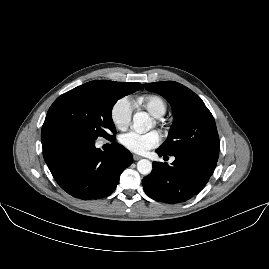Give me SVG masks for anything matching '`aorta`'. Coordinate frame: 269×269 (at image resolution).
Masks as SVG:
<instances>
[{"label": "aorta", "instance_id": "762f6f07", "mask_svg": "<svg viewBox=\"0 0 269 269\" xmlns=\"http://www.w3.org/2000/svg\"><path fill=\"white\" fill-rule=\"evenodd\" d=\"M133 128L137 133H143L148 131L153 126V120L150 116L142 111L134 114L133 119ZM137 170L140 174L147 175L152 170V163L147 159H141L137 162Z\"/></svg>", "mask_w": 269, "mask_h": 269}]
</instances>
